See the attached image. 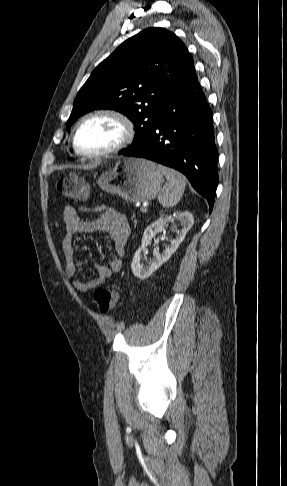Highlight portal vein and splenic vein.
Returning <instances> with one entry per match:
<instances>
[{
    "label": "portal vein and splenic vein",
    "mask_w": 287,
    "mask_h": 486,
    "mask_svg": "<svg viewBox=\"0 0 287 486\" xmlns=\"http://www.w3.org/2000/svg\"><path fill=\"white\" fill-rule=\"evenodd\" d=\"M141 212L145 213L147 212V205H143L141 208H140Z\"/></svg>",
    "instance_id": "obj_1"
}]
</instances>
